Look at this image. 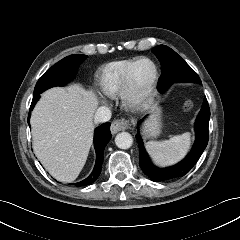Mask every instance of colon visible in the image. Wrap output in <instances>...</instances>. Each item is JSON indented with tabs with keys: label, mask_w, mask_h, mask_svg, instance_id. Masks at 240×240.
<instances>
[{
	"label": "colon",
	"mask_w": 240,
	"mask_h": 240,
	"mask_svg": "<svg viewBox=\"0 0 240 240\" xmlns=\"http://www.w3.org/2000/svg\"><path fill=\"white\" fill-rule=\"evenodd\" d=\"M185 108L186 109H190L191 108V103L190 102H186L185 103Z\"/></svg>",
	"instance_id": "1"
}]
</instances>
